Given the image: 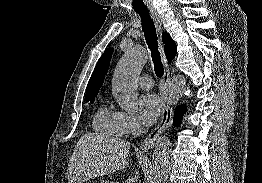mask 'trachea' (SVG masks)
<instances>
[{"label":"trachea","mask_w":262,"mask_h":183,"mask_svg":"<svg viewBox=\"0 0 262 183\" xmlns=\"http://www.w3.org/2000/svg\"><path fill=\"white\" fill-rule=\"evenodd\" d=\"M137 13L141 17L142 29L148 48L151 51L155 74L157 77L161 78L164 74V68L161 62L160 52L158 50L157 34L154 22L148 11H141Z\"/></svg>","instance_id":"trachea-1"}]
</instances>
